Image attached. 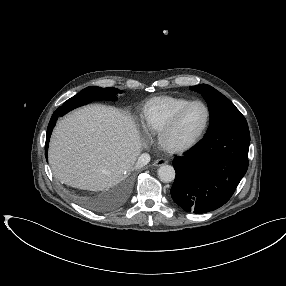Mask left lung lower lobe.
<instances>
[{
	"label": "left lung lower lobe",
	"instance_id": "left-lung-lower-lobe-1",
	"mask_svg": "<svg viewBox=\"0 0 286 286\" xmlns=\"http://www.w3.org/2000/svg\"><path fill=\"white\" fill-rule=\"evenodd\" d=\"M248 127H227L205 134L182 157H176L171 196L184 210L206 213L224 205L248 168Z\"/></svg>",
	"mask_w": 286,
	"mask_h": 286
}]
</instances>
